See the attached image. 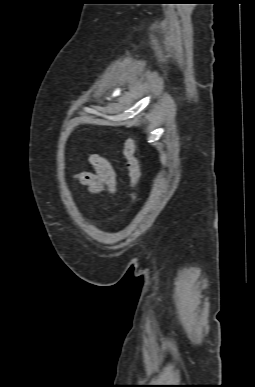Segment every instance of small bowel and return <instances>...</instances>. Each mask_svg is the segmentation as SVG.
<instances>
[{"mask_svg": "<svg viewBox=\"0 0 255 387\" xmlns=\"http://www.w3.org/2000/svg\"><path fill=\"white\" fill-rule=\"evenodd\" d=\"M89 161L94 168V172L79 174V181L91 193H99L103 190L114 193L116 191V173L110 162L97 154L89 155Z\"/></svg>", "mask_w": 255, "mask_h": 387, "instance_id": "c3829d8e", "label": "small bowel"}]
</instances>
